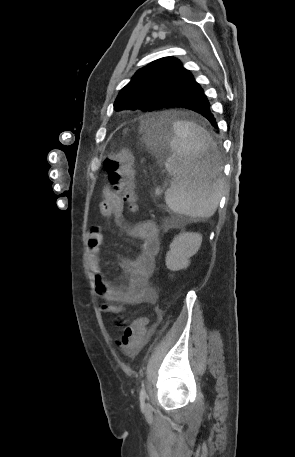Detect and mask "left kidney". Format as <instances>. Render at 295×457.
Segmentation results:
<instances>
[{"mask_svg":"<svg viewBox=\"0 0 295 457\" xmlns=\"http://www.w3.org/2000/svg\"><path fill=\"white\" fill-rule=\"evenodd\" d=\"M202 243V236L195 232H184L177 235L170 244L166 254V266L172 271L185 269L190 257L195 255Z\"/></svg>","mask_w":295,"mask_h":457,"instance_id":"obj_1","label":"left kidney"}]
</instances>
